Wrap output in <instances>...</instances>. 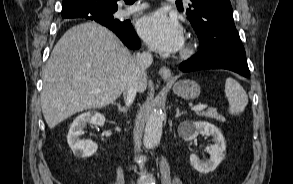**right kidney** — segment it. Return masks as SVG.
<instances>
[{
  "instance_id": "obj_1",
  "label": "right kidney",
  "mask_w": 293,
  "mask_h": 184,
  "mask_svg": "<svg viewBox=\"0 0 293 184\" xmlns=\"http://www.w3.org/2000/svg\"><path fill=\"white\" fill-rule=\"evenodd\" d=\"M105 123V117L103 114L89 111L83 113L75 118L70 126L67 141L76 157L87 158L92 156L98 149L96 143L91 141L81 140L80 136L84 134L83 128L87 124H94L103 126Z\"/></svg>"
}]
</instances>
